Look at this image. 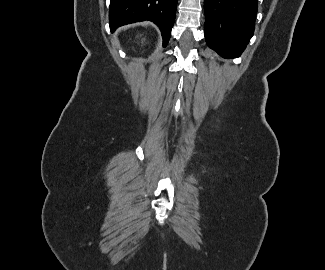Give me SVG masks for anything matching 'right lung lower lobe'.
Segmentation results:
<instances>
[{"label": "right lung lower lobe", "instance_id": "1", "mask_svg": "<svg viewBox=\"0 0 325 270\" xmlns=\"http://www.w3.org/2000/svg\"><path fill=\"white\" fill-rule=\"evenodd\" d=\"M178 0H110L111 32L125 24L149 20L161 30L166 46L175 20Z\"/></svg>", "mask_w": 325, "mask_h": 270}]
</instances>
